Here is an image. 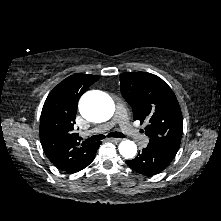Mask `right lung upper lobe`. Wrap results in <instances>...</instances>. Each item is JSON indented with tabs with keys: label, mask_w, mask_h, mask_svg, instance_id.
I'll return each mask as SVG.
<instances>
[{
	"label": "right lung upper lobe",
	"mask_w": 221,
	"mask_h": 221,
	"mask_svg": "<svg viewBox=\"0 0 221 221\" xmlns=\"http://www.w3.org/2000/svg\"><path fill=\"white\" fill-rule=\"evenodd\" d=\"M98 79L96 75H71L50 92L42 109L40 140L43 150L57 168L68 173L82 170L96 148V143L80 142L73 130L78 101Z\"/></svg>",
	"instance_id": "1"
}]
</instances>
